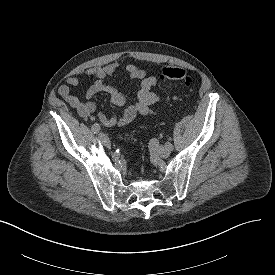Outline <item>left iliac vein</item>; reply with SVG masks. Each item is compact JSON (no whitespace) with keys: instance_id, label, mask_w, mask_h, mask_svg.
<instances>
[{"instance_id":"1","label":"left iliac vein","mask_w":275,"mask_h":275,"mask_svg":"<svg viewBox=\"0 0 275 275\" xmlns=\"http://www.w3.org/2000/svg\"><path fill=\"white\" fill-rule=\"evenodd\" d=\"M157 153L159 156H161L163 158H167L170 155L171 150L168 149L167 147L159 146L157 149Z\"/></svg>"}]
</instances>
